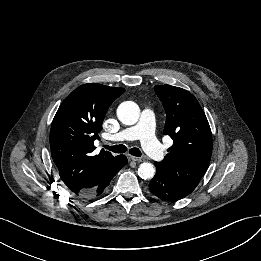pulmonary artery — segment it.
<instances>
[{"mask_svg": "<svg viewBox=\"0 0 261 261\" xmlns=\"http://www.w3.org/2000/svg\"><path fill=\"white\" fill-rule=\"evenodd\" d=\"M155 114L152 108L146 107L141 112L140 121L116 134L110 135L112 142L132 141L140 139L142 146L151 157L157 161L163 160L164 154L155 136Z\"/></svg>", "mask_w": 261, "mask_h": 261, "instance_id": "e3ab8cb5", "label": "pulmonary artery"}]
</instances>
